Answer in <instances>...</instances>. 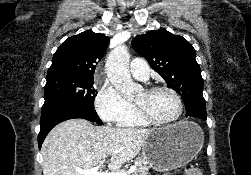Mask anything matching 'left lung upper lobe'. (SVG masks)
<instances>
[{"label":"left lung upper lobe","instance_id":"5c2ea615","mask_svg":"<svg viewBox=\"0 0 251 175\" xmlns=\"http://www.w3.org/2000/svg\"><path fill=\"white\" fill-rule=\"evenodd\" d=\"M131 44L164 78L167 85L182 96L185 105L205 103L203 79L195 59L196 51L185 38L160 28L136 36Z\"/></svg>","mask_w":251,"mask_h":175}]
</instances>
